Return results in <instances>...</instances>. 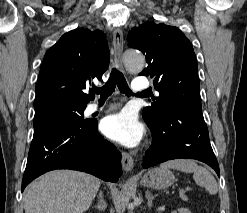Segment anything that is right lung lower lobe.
I'll use <instances>...</instances> for the list:
<instances>
[{
  "label": "right lung lower lobe",
  "instance_id": "right-lung-lower-lobe-1",
  "mask_svg": "<svg viewBox=\"0 0 247 213\" xmlns=\"http://www.w3.org/2000/svg\"><path fill=\"white\" fill-rule=\"evenodd\" d=\"M54 169H73L117 182L121 153L98 133L97 121L78 124L62 119L38 120L34 125L22 192L36 177Z\"/></svg>",
  "mask_w": 247,
  "mask_h": 213
}]
</instances>
